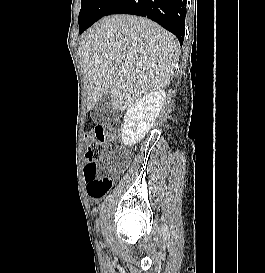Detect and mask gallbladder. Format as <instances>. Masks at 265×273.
Wrapping results in <instances>:
<instances>
[{
	"label": "gallbladder",
	"mask_w": 265,
	"mask_h": 273,
	"mask_svg": "<svg viewBox=\"0 0 265 273\" xmlns=\"http://www.w3.org/2000/svg\"><path fill=\"white\" fill-rule=\"evenodd\" d=\"M117 115L113 108L110 97L103 95L92 109L91 116L96 123H108Z\"/></svg>",
	"instance_id": "gallbladder-1"
}]
</instances>
